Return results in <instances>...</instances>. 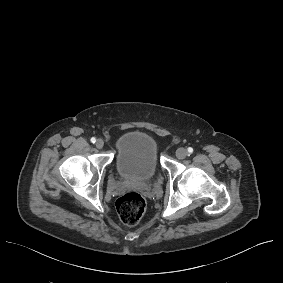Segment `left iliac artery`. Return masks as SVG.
Here are the masks:
<instances>
[{"mask_svg":"<svg viewBox=\"0 0 283 283\" xmlns=\"http://www.w3.org/2000/svg\"><path fill=\"white\" fill-rule=\"evenodd\" d=\"M192 152H193V148L189 147V148H188V153L191 154Z\"/></svg>","mask_w":283,"mask_h":283,"instance_id":"left-iliac-artery-1","label":"left iliac artery"}]
</instances>
